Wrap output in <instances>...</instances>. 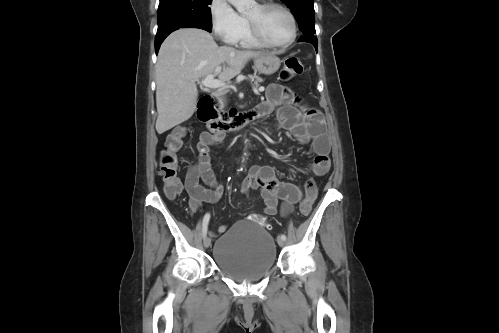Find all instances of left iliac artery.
<instances>
[{"label": "left iliac artery", "mask_w": 499, "mask_h": 333, "mask_svg": "<svg viewBox=\"0 0 499 333\" xmlns=\"http://www.w3.org/2000/svg\"><path fill=\"white\" fill-rule=\"evenodd\" d=\"M281 238H282L283 240H286V235H285V234H282V235H281Z\"/></svg>", "instance_id": "obj_1"}]
</instances>
